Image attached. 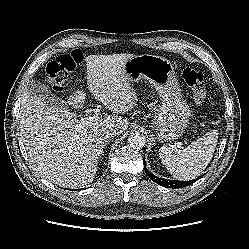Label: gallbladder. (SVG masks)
Instances as JSON below:
<instances>
[{
	"mask_svg": "<svg viewBox=\"0 0 249 249\" xmlns=\"http://www.w3.org/2000/svg\"><path fill=\"white\" fill-rule=\"evenodd\" d=\"M27 90L49 106L63 110L68 109L67 103L64 100L54 95L49 87L39 81H31L27 86Z\"/></svg>",
	"mask_w": 249,
	"mask_h": 249,
	"instance_id": "gallbladder-1",
	"label": "gallbladder"
}]
</instances>
